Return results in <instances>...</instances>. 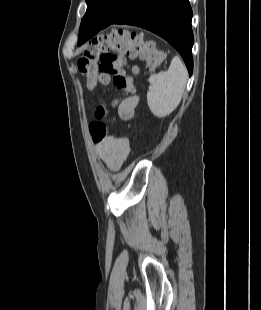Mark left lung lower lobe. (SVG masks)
Returning <instances> with one entry per match:
<instances>
[{"mask_svg": "<svg viewBox=\"0 0 261 310\" xmlns=\"http://www.w3.org/2000/svg\"><path fill=\"white\" fill-rule=\"evenodd\" d=\"M191 20L189 0H126L112 20L85 22L80 28L78 45L111 24L139 26L158 34L173 45L183 57L191 76L194 43Z\"/></svg>", "mask_w": 261, "mask_h": 310, "instance_id": "obj_1", "label": "left lung lower lobe"}]
</instances>
